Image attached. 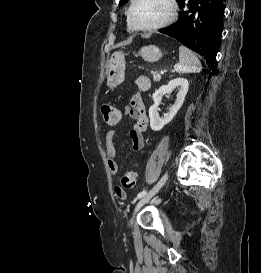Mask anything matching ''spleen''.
<instances>
[{
    "instance_id": "spleen-1",
    "label": "spleen",
    "mask_w": 261,
    "mask_h": 273,
    "mask_svg": "<svg viewBox=\"0 0 261 273\" xmlns=\"http://www.w3.org/2000/svg\"><path fill=\"white\" fill-rule=\"evenodd\" d=\"M174 70L177 73H199L202 65L197 56L187 47H179V62L175 64Z\"/></svg>"
}]
</instances>
